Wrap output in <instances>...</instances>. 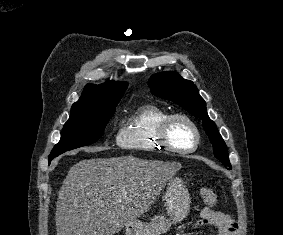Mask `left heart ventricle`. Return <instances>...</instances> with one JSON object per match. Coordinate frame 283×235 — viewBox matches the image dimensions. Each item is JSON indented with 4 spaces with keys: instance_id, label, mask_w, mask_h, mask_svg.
Here are the masks:
<instances>
[{
    "instance_id": "1",
    "label": "left heart ventricle",
    "mask_w": 283,
    "mask_h": 235,
    "mask_svg": "<svg viewBox=\"0 0 283 235\" xmlns=\"http://www.w3.org/2000/svg\"><path fill=\"white\" fill-rule=\"evenodd\" d=\"M169 138L172 144L178 148H189L195 141L191 127L181 120H176L171 124Z\"/></svg>"
}]
</instances>
